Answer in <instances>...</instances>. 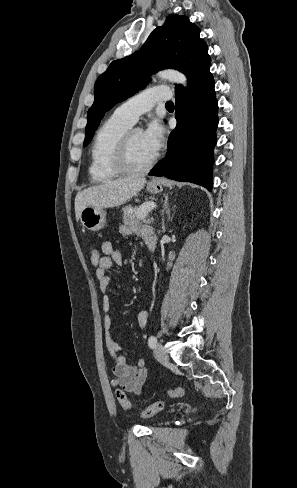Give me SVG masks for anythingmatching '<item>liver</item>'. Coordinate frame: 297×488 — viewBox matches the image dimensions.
Segmentation results:
<instances>
[{
  "label": "liver",
  "mask_w": 297,
  "mask_h": 488,
  "mask_svg": "<svg viewBox=\"0 0 297 488\" xmlns=\"http://www.w3.org/2000/svg\"><path fill=\"white\" fill-rule=\"evenodd\" d=\"M145 184L146 179L143 176L132 175L87 188L76 195V218H80L82 209L88 206L112 208L123 205L141 191Z\"/></svg>",
  "instance_id": "liver-1"
}]
</instances>
